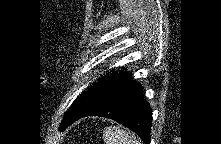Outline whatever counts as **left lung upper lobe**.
<instances>
[{
    "label": "left lung upper lobe",
    "mask_w": 221,
    "mask_h": 144,
    "mask_svg": "<svg viewBox=\"0 0 221 144\" xmlns=\"http://www.w3.org/2000/svg\"><path fill=\"white\" fill-rule=\"evenodd\" d=\"M125 72V71H124ZM103 77L96 85L89 89L82 97L76 100L70 109L66 112L64 119L61 124V129L66 128L71 121L76 119L78 116L87 112L96 103H98L115 81L124 73Z\"/></svg>",
    "instance_id": "obj_1"
}]
</instances>
